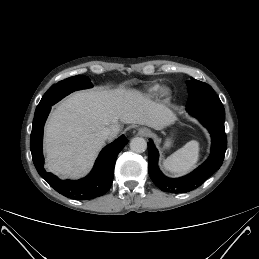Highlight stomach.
I'll use <instances>...</instances> for the list:
<instances>
[{
  "instance_id": "1",
  "label": "stomach",
  "mask_w": 259,
  "mask_h": 259,
  "mask_svg": "<svg viewBox=\"0 0 259 259\" xmlns=\"http://www.w3.org/2000/svg\"><path fill=\"white\" fill-rule=\"evenodd\" d=\"M171 144H172L171 138H167V139L165 140V142H164L163 148H164V149H168V148H170Z\"/></svg>"
}]
</instances>
